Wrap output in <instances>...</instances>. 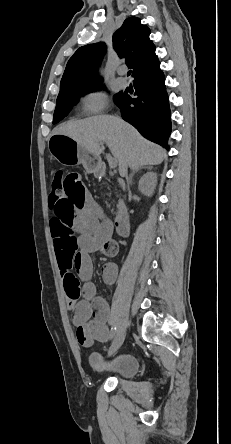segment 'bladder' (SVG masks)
Listing matches in <instances>:
<instances>
[{"label":"bladder","instance_id":"31cf9c89","mask_svg":"<svg viewBox=\"0 0 231 444\" xmlns=\"http://www.w3.org/2000/svg\"><path fill=\"white\" fill-rule=\"evenodd\" d=\"M90 363L99 375L124 379L133 377L139 369L138 358L131 353L120 354L107 362H103L100 355L93 354Z\"/></svg>","mask_w":231,"mask_h":444}]
</instances>
